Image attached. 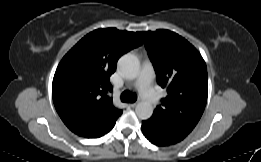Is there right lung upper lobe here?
Returning a JSON list of instances; mask_svg holds the SVG:
<instances>
[{
    "mask_svg": "<svg viewBox=\"0 0 261 162\" xmlns=\"http://www.w3.org/2000/svg\"><path fill=\"white\" fill-rule=\"evenodd\" d=\"M142 44L136 33L97 29L83 37L61 60L52 84L55 108L75 134L98 138L115 125L109 78L120 56Z\"/></svg>",
    "mask_w": 261,
    "mask_h": 162,
    "instance_id": "1",
    "label": "right lung upper lobe"
}]
</instances>
